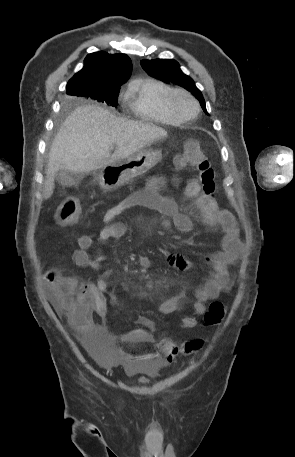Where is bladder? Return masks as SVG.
Instances as JSON below:
<instances>
[{"label":"bladder","mask_w":295,"mask_h":457,"mask_svg":"<svg viewBox=\"0 0 295 457\" xmlns=\"http://www.w3.org/2000/svg\"><path fill=\"white\" fill-rule=\"evenodd\" d=\"M79 347H88V356H94L97 363L109 368L114 364L110 356L116 355L114 338H79ZM166 363L163 361L126 362L125 372L128 376L144 375L149 378H158L162 375Z\"/></svg>","instance_id":"bladder-1"}]
</instances>
